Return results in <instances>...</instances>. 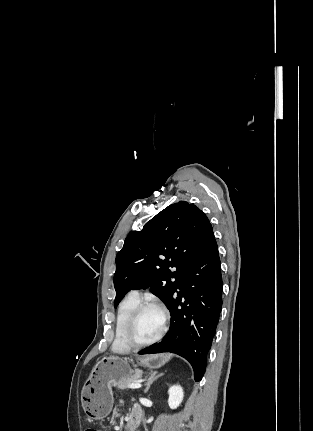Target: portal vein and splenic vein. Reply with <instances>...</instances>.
I'll use <instances>...</instances> for the list:
<instances>
[{
  "instance_id": "18ae733b",
  "label": "portal vein and splenic vein",
  "mask_w": 313,
  "mask_h": 431,
  "mask_svg": "<svg viewBox=\"0 0 313 431\" xmlns=\"http://www.w3.org/2000/svg\"><path fill=\"white\" fill-rule=\"evenodd\" d=\"M141 386L142 385H141L140 382H134V383H131V384L127 385L128 388H132V389L141 388Z\"/></svg>"
}]
</instances>
